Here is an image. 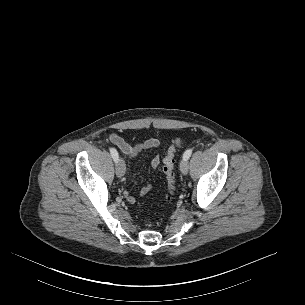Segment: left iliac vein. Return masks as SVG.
Segmentation results:
<instances>
[{"instance_id": "obj_1", "label": "left iliac vein", "mask_w": 305, "mask_h": 305, "mask_svg": "<svg viewBox=\"0 0 305 305\" xmlns=\"http://www.w3.org/2000/svg\"><path fill=\"white\" fill-rule=\"evenodd\" d=\"M189 169L188 161L183 159L180 163V170L183 174H187Z\"/></svg>"}]
</instances>
